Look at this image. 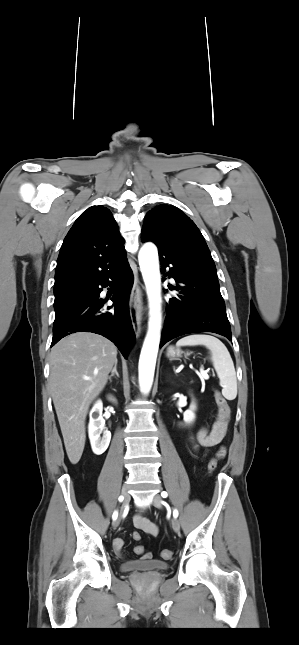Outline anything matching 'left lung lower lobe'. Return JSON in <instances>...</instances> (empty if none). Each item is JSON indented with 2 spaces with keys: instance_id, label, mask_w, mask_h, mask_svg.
Instances as JSON below:
<instances>
[{
  "instance_id": "1",
  "label": "left lung lower lobe",
  "mask_w": 299,
  "mask_h": 645,
  "mask_svg": "<svg viewBox=\"0 0 299 645\" xmlns=\"http://www.w3.org/2000/svg\"><path fill=\"white\" fill-rule=\"evenodd\" d=\"M161 270L177 282V297L166 305L167 315L160 347L189 333L213 332L232 341L225 302L213 259L177 244L158 247ZM172 289V288H170Z\"/></svg>"
}]
</instances>
